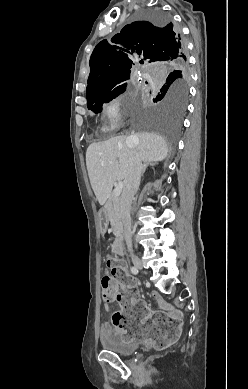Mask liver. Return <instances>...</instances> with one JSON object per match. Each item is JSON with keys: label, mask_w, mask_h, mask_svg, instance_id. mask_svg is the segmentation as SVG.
<instances>
[{"label": "liver", "mask_w": 248, "mask_h": 389, "mask_svg": "<svg viewBox=\"0 0 248 389\" xmlns=\"http://www.w3.org/2000/svg\"><path fill=\"white\" fill-rule=\"evenodd\" d=\"M130 141L143 162H158L166 158L168 146L156 133L140 132L92 143L86 151V166L91 187L100 205L109 198L116 181L125 180L131 149Z\"/></svg>", "instance_id": "obj_1"}]
</instances>
